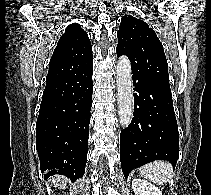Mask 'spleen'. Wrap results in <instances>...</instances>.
<instances>
[{
  "mask_svg": "<svg viewBox=\"0 0 211 195\" xmlns=\"http://www.w3.org/2000/svg\"><path fill=\"white\" fill-rule=\"evenodd\" d=\"M141 176L156 183L163 185L173 176L172 165L164 161H155L139 168Z\"/></svg>",
  "mask_w": 211,
  "mask_h": 195,
  "instance_id": "obj_1",
  "label": "spleen"
}]
</instances>
